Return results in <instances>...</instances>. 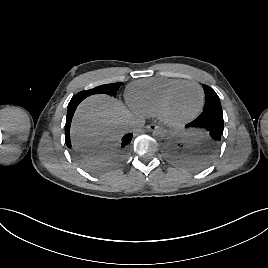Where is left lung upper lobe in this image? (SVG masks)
<instances>
[{
	"label": "left lung upper lobe",
	"instance_id": "obj_1",
	"mask_svg": "<svg viewBox=\"0 0 268 268\" xmlns=\"http://www.w3.org/2000/svg\"><path fill=\"white\" fill-rule=\"evenodd\" d=\"M203 89L206 96L203 111L208 110L222 111L221 102L216 92L207 85H203Z\"/></svg>",
	"mask_w": 268,
	"mask_h": 268
}]
</instances>
